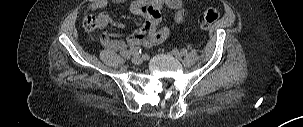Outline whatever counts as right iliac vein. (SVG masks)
Returning a JSON list of instances; mask_svg holds the SVG:
<instances>
[{
	"instance_id": "right-iliac-vein-1",
	"label": "right iliac vein",
	"mask_w": 303,
	"mask_h": 127,
	"mask_svg": "<svg viewBox=\"0 0 303 127\" xmlns=\"http://www.w3.org/2000/svg\"><path fill=\"white\" fill-rule=\"evenodd\" d=\"M131 61H132V63H134L135 65H140V64L143 62L141 56H139V55H134V56L132 57Z\"/></svg>"
}]
</instances>
